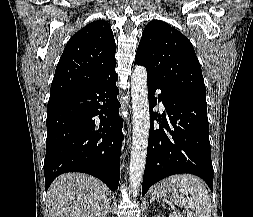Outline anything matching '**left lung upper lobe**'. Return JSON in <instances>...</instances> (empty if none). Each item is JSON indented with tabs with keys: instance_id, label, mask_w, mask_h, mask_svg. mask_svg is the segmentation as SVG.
Instances as JSON below:
<instances>
[{
	"instance_id": "5c2ea615",
	"label": "left lung upper lobe",
	"mask_w": 253,
	"mask_h": 217,
	"mask_svg": "<svg viewBox=\"0 0 253 217\" xmlns=\"http://www.w3.org/2000/svg\"><path fill=\"white\" fill-rule=\"evenodd\" d=\"M135 63L143 65L147 77L164 89L206 103V90L200 63L191 42L161 20L145 27Z\"/></svg>"
}]
</instances>
